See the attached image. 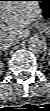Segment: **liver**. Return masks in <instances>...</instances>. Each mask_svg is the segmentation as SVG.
<instances>
[{
	"label": "liver",
	"instance_id": "6515ba94",
	"mask_svg": "<svg viewBox=\"0 0 50 111\" xmlns=\"http://www.w3.org/2000/svg\"><path fill=\"white\" fill-rule=\"evenodd\" d=\"M0 41L6 36L26 38L29 35L27 28L40 17L39 3L33 0L1 1ZM5 22L6 24H3Z\"/></svg>",
	"mask_w": 50,
	"mask_h": 111
}]
</instances>
